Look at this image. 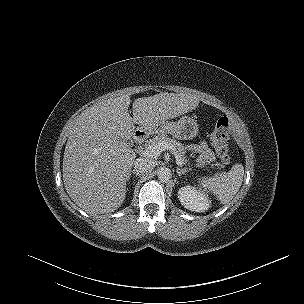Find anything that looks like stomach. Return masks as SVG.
<instances>
[{
  "label": "stomach",
  "instance_id": "stomach-1",
  "mask_svg": "<svg viewBox=\"0 0 304 304\" xmlns=\"http://www.w3.org/2000/svg\"><path fill=\"white\" fill-rule=\"evenodd\" d=\"M157 128L166 131L177 139L190 140L197 136L198 125L195 119L183 116L180 120L172 123L164 122L157 125Z\"/></svg>",
  "mask_w": 304,
  "mask_h": 304
}]
</instances>
